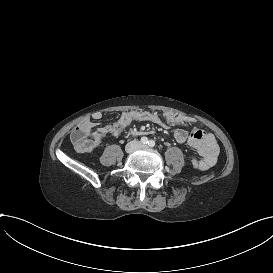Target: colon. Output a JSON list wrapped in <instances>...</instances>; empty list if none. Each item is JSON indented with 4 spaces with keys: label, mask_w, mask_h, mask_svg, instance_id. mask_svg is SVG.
<instances>
[{
    "label": "colon",
    "mask_w": 273,
    "mask_h": 273,
    "mask_svg": "<svg viewBox=\"0 0 273 273\" xmlns=\"http://www.w3.org/2000/svg\"><path fill=\"white\" fill-rule=\"evenodd\" d=\"M94 131V126L91 121L84 120L80 125L74 128L67 135V140L80 152H92L96 148V143L94 140L87 137L91 136Z\"/></svg>",
    "instance_id": "5ec220e1"
}]
</instances>
